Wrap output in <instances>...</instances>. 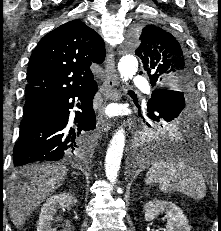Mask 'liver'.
I'll use <instances>...</instances> for the list:
<instances>
[{
    "label": "liver",
    "mask_w": 221,
    "mask_h": 231,
    "mask_svg": "<svg viewBox=\"0 0 221 231\" xmlns=\"http://www.w3.org/2000/svg\"><path fill=\"white\" fill-rule=\"evenodd\" d=\"M65 165L34 164L12 173L7 182L8 210L16 228L25 224L31 213L64 182Z\"/></svg>",
    "instance_id": "liver-1"
}]
</instances>
